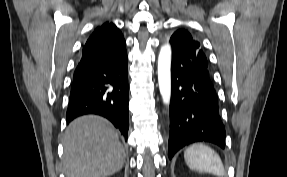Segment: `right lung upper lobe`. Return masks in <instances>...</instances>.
I'll return each mask as SVG.
<instances>
[{"label": "right lung upper lobe", "instance_id": "right-lung-upper-lobe-1", "mask_svg": "<svg viewBox=\"0 0 287 177\" xmlns=\"http://www.w3.org/2000/svg\"><path fill=\"white\" fill-rule=\"evenodd\" d=\"M95 30H97V31H110V30H118V28L113 23L106 22L103 25L97 27Z\"/></svg>", "mask_w": 287, "mask_h": 177}]
</instances>
